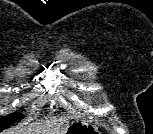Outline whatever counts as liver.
<instances>
[{"label":"liver","instance_id":"6515ba94","mask_svg":"<svg viewBox=\"0 0 153 134\" xmlns=\"http://www.w3.org/2000/svg\"><path fill=\"white\" fill-rule=\"evenodd\" d=\"M44 132H49L46 129H44V126L42 125V123H35V124H31L29 126H26L24 128H20V129H16V130H12V131H5L3 132L4 134H41ZM53 134H59L60 131L58 130V128H55ZM2 133V134H3Z\"/></svg>","mask_w":153,"mask_h":134}]
</instances>
